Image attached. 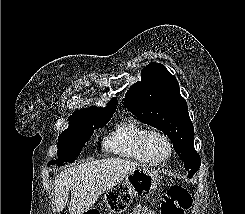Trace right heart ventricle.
I'll return each mask as SVG.
<instances>
[{
    "label": "right heart ventricle",
    "instance_id": "e07e8e85",
    "mask_svg": "<svg viewBox=\"0 0 245 214\" xmlns=\"http://www.w3.org/2000/svg\"><path fill=\"white\" fill-rule=\"evenodd\" d=\"M148 130L138 120L128 118L109 133L104 141V147L121 158L149 165L141 151V139Z\"/></svg>",
    "mask_w": 245,
    "mask_h": 214
}]
</instances>
